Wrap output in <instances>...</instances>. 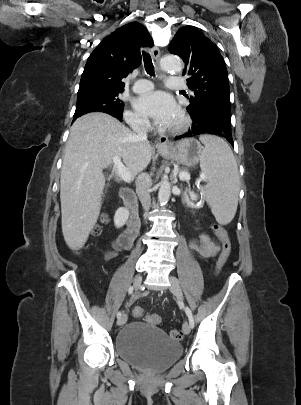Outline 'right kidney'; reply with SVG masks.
<instances>
[{
    "instance_id": "ca27d5eb",
    "label": "right kidney",
    "mask_w": 301,
    "mask_h": 405,
    "mask_svg": "<svg viewBox=\"0 0 301 405\" xmlns=\"http://www.w3.org/2000/svg\"><path fill=\"white\" fill-rule=\"evenodd\" d=\"M129 217V211L127 208L120 207L117 209L114 215V225L116 228H121L125 225Z\"/></svg>"
}]
</instances>
